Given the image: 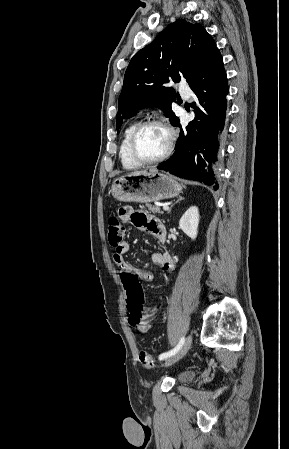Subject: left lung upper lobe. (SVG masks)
<instances>
[{"instance_id": "5c2ea615", "label": "left lung upper lobe", "mask_w": 289, "mask_h": 449, "mask_svg": "<svg viewBox=\"0 0 289 449\" xmlns=\"http://www.w3.org/2000/svg\"><path fill=\"white\" fill-rule=\"evenodd\" d=\"M215 48L213 38L199 24L178 20L168 25L132 57L118 100L116 128L146 107L160 108L174 125L179 119L171 109L176 92L169 83L181 78L192 83Z\"/></svg>"}]
</instances>
